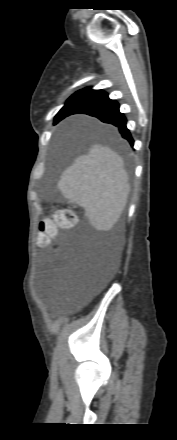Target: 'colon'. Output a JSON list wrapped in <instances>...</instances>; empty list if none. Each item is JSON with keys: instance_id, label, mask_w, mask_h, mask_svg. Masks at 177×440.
I'll use <instances>...</instances> for the list:
<instances>
[{"instance_id": "colon-1", "label": "colon", "mask_w": 177, "mask_h": 440, "mask_svg": "<svg viewBox=\"0 0 177 440\" xmlns=\"http://www.w3.org/2000/svg\"><path fill=\"white\" fill-rule=\"evenodd\" d=\"M77 222L75 213L70 209H58L39 224L38 243L49 245L57 236L59 229H68Z\"/></svg>"}]
</instances>
